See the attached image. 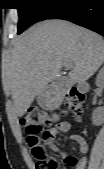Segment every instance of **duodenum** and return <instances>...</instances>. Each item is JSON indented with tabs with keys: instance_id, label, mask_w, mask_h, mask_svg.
Wrapping results in <instances>:
<instances>
[{
	"instance_id": "obj_1",
	"label": "duodenum",
	"mask_w": 104,
	"mask_h": 169,
	"mask_svg": "<svg viewBox=\"0 0 104 169\" xmlns=\"http://www.w3.org/2000/svg\"><path fill=\"white\" fill-rule=\"evenodd\" d=\"M78 89L81 91V92H87L89 90V86L87 83L85 82H82L78 85Z\"/></svg>"
}]
</instances>
